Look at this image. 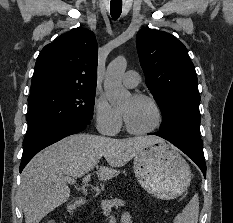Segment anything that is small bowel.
I'll use <instances>...</instances> for the list:
<instances>
[{
    "label": "small bowel",
    "instance_id": "c3829d8e",
    "mask_svg": "<svg viewBox=\"0 0 233 223\" xmlns=\"http://www.w3.org/2000/svg\"><path fill=\"white\" fill-rule=\"evenodd\" d=\"M121 223H133V218L129 212H124L122 214Z\"/></svg>",
    "mask_w": 233,
    "mask_h": 223
}]
</instances>
